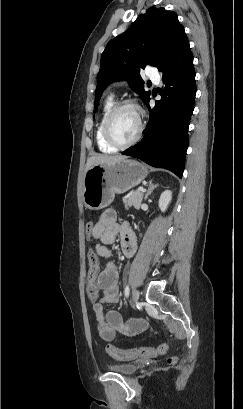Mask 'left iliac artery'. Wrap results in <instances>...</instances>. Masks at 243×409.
<instances>
[{
    "label": "left iliac artery",
    "mask_w": 243,
    "mask_h": 409,
    "mask_svg": "<svg viewBox=\"0 0 243 409\" xmlns=\"http://www.w3.org/2000/svg\"><path fill=\"white\" fill-rule=\"evenodd\" d=\"M129 292H130V289H129V286L127 285V286L125 287V290H124V294H125L126 297L129 296Z\"/></svg>",
    "instance_id": "left-iliac-artery-1"
}]
</instances>
